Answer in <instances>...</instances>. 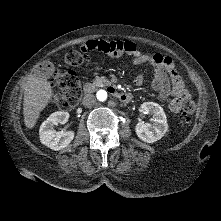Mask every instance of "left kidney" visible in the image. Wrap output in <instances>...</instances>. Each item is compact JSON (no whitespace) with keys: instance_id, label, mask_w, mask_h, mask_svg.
<instances>
[{"instance_id":"obj_1","label":"left kidney","mask_w":221,"mask_h":221,"mask_svg":"<svg viewBox=\"0 0 221 221\" xmlns=\"http://www.w3.org/2000/svg\"><path fill=\"white\" fill-rule=\"evenodd\" d=\"M141 109L152 115V123L138 122L135 126L137 136L144 142L154 143L161 139L168 130V123L163 108L155 102H144Z\"/></svg>"}]
</instances>
